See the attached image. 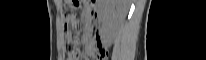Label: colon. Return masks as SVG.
<instances>
[{"label":"colon","instance_id":"colon-1","mask_svg":"<svg viewBox=\"0 0 206 60\" xmlns=\"http://www.w3.org/2000/svg\"><path fill=\"white\" fill-rule=\"evenodd\" d=\"M65 29L67 32V51L71 56H76L78 53L77 46L80 40V26L78 20L71 12L66 15ZM95 56L97 60H106L108 54L105 49L97 44Z\"/></svg>","mask_w":206,"mask_h":60}]
</instances>
